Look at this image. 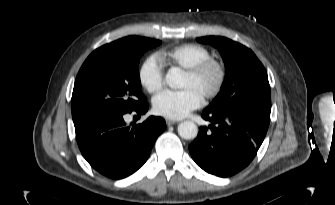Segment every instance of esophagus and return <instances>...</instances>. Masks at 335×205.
I'll return each mask as SVG.
<instances>
[{
    "mask_svg": "<svg viewBox=\"0 0 335 205\" xmlns=\"http://www.w3.org/2000/svg\"><path fill=\"white\" fill-rule=\"evenodd\" d=\"M175 123H177V121H175V120H170V119H167V120H166V124H167L168 126L174 125Z\"/></svg>",
    "mask_w": 335,
    "mask_h": 205,
    "instance_id": "1",
    "label": "esophagus"
}]
</instances>
